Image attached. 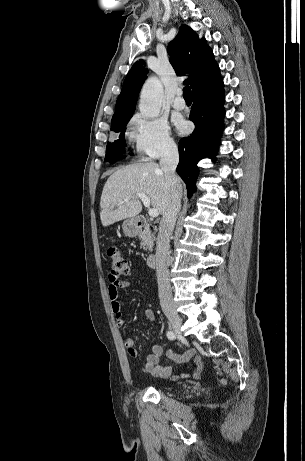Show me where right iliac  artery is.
<instances>
[{
  "mask_svg": "<svg viewBox=\"0 0 305 461\" xmlns=\"http://www.w3.org/2000/svg\"><path fill=\"white\" fill-rule=\"evenodd\" d=\"M167 337L170 340H174L176 338V335H175V333L173 331H168L167 332Z\"/></svg>",
  "mask_w": 305,
  "mask_h": 461,
  "instance_id": "right-iliac-artery-1",
  "label": "right iliac artery"
}]
</instances>
